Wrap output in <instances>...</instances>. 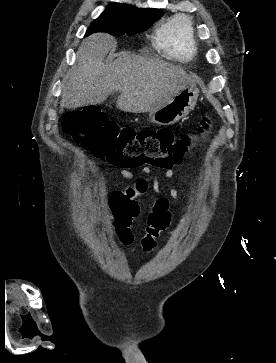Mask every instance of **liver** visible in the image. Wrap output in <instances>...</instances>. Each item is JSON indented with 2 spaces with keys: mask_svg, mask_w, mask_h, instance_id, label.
I'll return each mask as SVG.
<instances>
[{
  "mask_svg": "<svg viewBox=\"0 0 276 363\" xmlns=\"http://www.w3.org/2000/svg\"><path fill=\"white\" fill-rule=\"evenodd\" d=\"M115 46V39L105 33L82 42L76 53L77 65L63 80L61 113L64 108L100 104L113 92L120 93L116 102L119 110L150 112L193 82L178 66L129 52L104 62Z\"/></svg>",
  "mask_w": 276,
  "mask_h": 363,
  "instance_id": "1",
  "label": "liver"
}]
</instances>
